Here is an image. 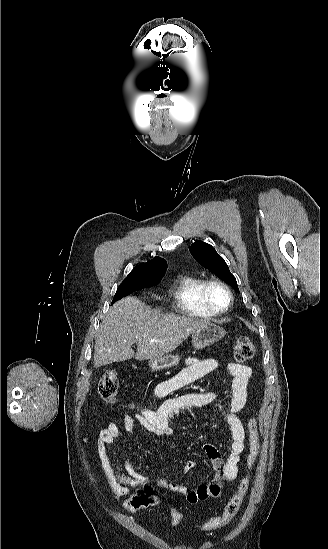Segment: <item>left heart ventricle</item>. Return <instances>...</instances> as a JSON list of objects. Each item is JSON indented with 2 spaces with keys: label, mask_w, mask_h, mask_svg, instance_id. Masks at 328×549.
Wrapping results in <instances>:
<instances>
[{
  "label": "left heart ventricle",
  "mask_w": 328,
  "mask_h": 549,
  "mask_svg": "<svg viewBox=\"0 0 328 549\" xmlns=\"http://www.w3.org/2000/svg\"><path fill=\"white\" fill-rule=\"evenodd\" d=\"M211 300L216 308L223 309L229 302V296L225 290L214 288L211 292Z\"/></svg>",
  "instance_id": "1"
}]
</instances>
